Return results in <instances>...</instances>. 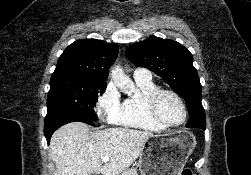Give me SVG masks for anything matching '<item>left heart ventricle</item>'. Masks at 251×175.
I'll return each mask as SVG.
<instances>
[{"label": "left heart ventricle", "instance_id": "left-heart-ventricle-1", "mask_svg": "<svg viewBox=\"0 0 251 175\" xmlns=\"http://www.w3.org/2000/svg\"><path fill=\"white\" fill-rule=\"evenodd\" d=\"M157 111L168 124L176 126L184 120V109L179 100L170 93L162 94L157 101Z\"/></svg>", "mask_w": 251, "mask_h": 175}]
</instances>
